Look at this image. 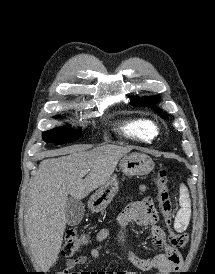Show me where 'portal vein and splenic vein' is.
Returning <instances> with one entry per match:
<instances>
[{"mask_svg":"<svg viewBox=\"0 0 215 274\" xmlns=\"http://www.w3.org/2000/svg\"><path fill=\"white\" fill-rule=\"evenodd\" d=\"M89 172V170H85L81 173L82 176H85L87 173Z\"/></svg>","mask_w":215,"mask_h":274,"instance_id":"1","label":"portal vein and splenic vein"}]
</instances>
